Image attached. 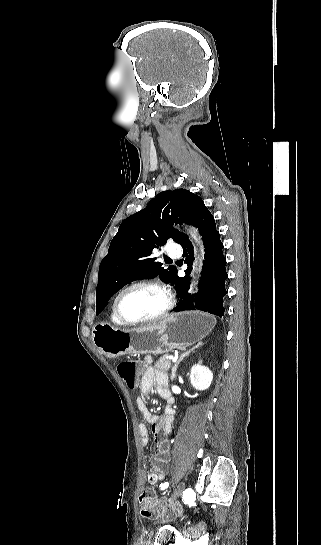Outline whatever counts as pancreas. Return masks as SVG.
I'll use <instances>...</instances> for the list:
<instances>
[{"instance_id": "cf45deb5", "label": "pancreas", "mask_w": 321, "mask_h": 545, "mask_svg": "<svg viewBox=\"0 0 321 545\" xmlns=\"http://www.w3.org/2000/svg\"><path fill=\"white\" fill-rule=\"evenodd\" d=\"M171 367V361L169 359H166V357H161L159 361H157L155 365V369H158V371H162V373H167Z\"/></svg>"}]
</instances>
